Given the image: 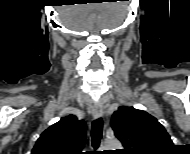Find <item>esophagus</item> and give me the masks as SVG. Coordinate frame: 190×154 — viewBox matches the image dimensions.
Instances as JSON below:
<instances>
[{
    "mask_svg": "<svg viewBox=\"0 0 190 154\" xmlns=\"http://www.w3.org/2000/svg\"><path fill=\"white\" fill-rule=\"evenodd\" d=\"M104 113V105L103 102L96 103L92 108V115L95 119L101 117Z\"/></svg>",
    "mask_w": 190,
    "mask_h": 154,
    "instance_id": "esophagus-1",
    "label": "esophagus"
}]
</instances>
